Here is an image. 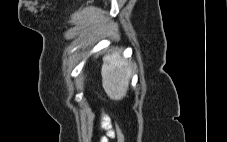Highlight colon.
<instances>
[{
    "mask_svg": "<svg viewBox=\"0 0 227 142\" xmlns=\"http://www.w3.org/2000/svg\"><path fill=\"white\" fill-rule=\"evenodd\" d=\"M117 139V142H124V134L119 126H116L115 129H113V138Z\"/></svg>",
    "mask_w": 227,
    "mask_h": 142,
    "instance_id": "1",
    "label": "colon"
}]
</instances>
